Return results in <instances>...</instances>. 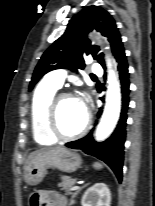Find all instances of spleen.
<instances>
[{
	"mask_svg": "<svg viewBox=\"0 0 155 206\" xmlns=\"http://www.w3.org/2000/svg\"><path fill=\"white\" fill-rule=\"evenodd\" d=\"M93 167H94L95 169H101L103 166H102V164H100V163H98V162H95V163L93 164Z\"/></svg>",
	"mask_w": 155,
	"mask_h": 206,
	"instance_id": "obj_1",
	"label": "spleen"
}]
</instances>
